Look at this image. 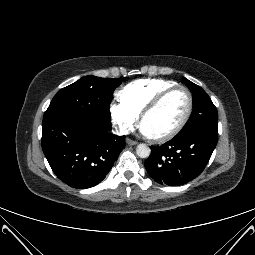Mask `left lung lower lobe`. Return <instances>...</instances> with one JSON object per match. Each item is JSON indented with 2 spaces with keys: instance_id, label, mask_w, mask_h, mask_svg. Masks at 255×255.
<instances>
[{
  "instance_id": "left-lung-lower-lobe-1",
  "label": "left lung lower lobe",
  "mask_w": 255,
  "mask_h": 255,
  "mask_svg": "<svg viewBox=\"0 0 255 255\" xmlns=\"http://www.w3.org/2000/svg\"><path fill=\"white\" fill-rule=\"evenodd\" d=\"M217 140L218 134L212 132L176 135L159 147L151 146L152 152L145 162V168L159 184H185L204 170Z\"/></svg>"
}]
</instances>
